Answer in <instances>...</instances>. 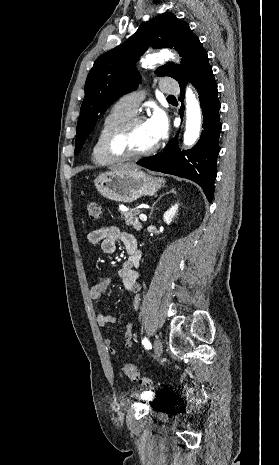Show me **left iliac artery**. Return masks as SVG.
Instances as JSON below:
<instances>
[{
  "mask_svg": "<svg viewBox=\"0 0 279 465\" xmlns=\"http://www.w3.org/2000/svg\"><path fill=\"white\" fill-rule=\"evenodd\" d=\"M142 343H143V345L145 346L146 349H151V344H150V342L148 341L147 338H144L142 340Z\"/></svg>",
  "mask_w": 279,
  "mask_h": 465,
  "instance_id": "1",
  "label": "left iliac artery"
}]
</instances>
